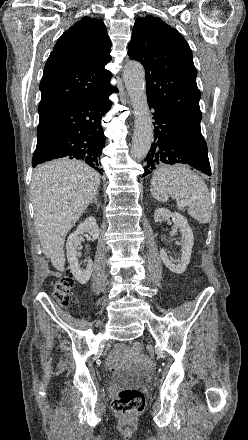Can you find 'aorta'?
Returning <instances> with one entry per match:
<instances>
[{"instance_id":"obj_1","label":"aorta","mask_w":248,"mask_h":440,"mask_svg":"<svg viewBox=\"0 0 248 440\" xmlns=\"http://www.w3.org/2000/svg\"><path fill=\"white\" fill-rule=\"evenodd\" d=\"M123 79L126 90L134 107V136L132 157L141 160L148 154L153 138V128L145 87L144 67L136 61H130L124 69Z\"/></svg>"}]
</instances>
